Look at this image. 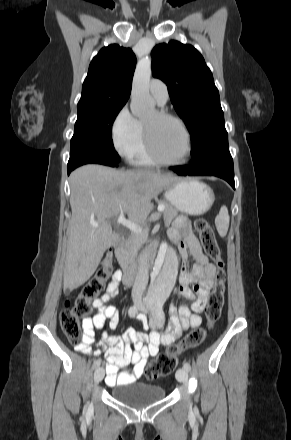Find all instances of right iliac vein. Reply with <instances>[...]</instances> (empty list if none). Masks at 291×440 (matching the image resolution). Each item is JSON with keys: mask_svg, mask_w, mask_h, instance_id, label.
Masks as SVG:
<instances>
[{"mask_svg": "<svg viewBox=\"0 0 291 440\" xmlns=\"http://www.w3.org/2000/svg\"><path fill=\"white\" fill-rule=\"evenodd\" d=\"M104 368L103 367H98L96 370H95V373H94V381H95V383H99V382H101L102 381V379H103V377H104Z\"/></svg>", "mask_w": 291, "mask_h": 440, "instance_id": "1", "label": "right iliac vein"}]
</instances>
